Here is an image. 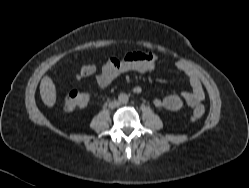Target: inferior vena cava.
I'll return each mask as SVG.
<instances>
[{
	"label": "inferior vena cava",
	"instance_id": "inferior-vena-cava-1",
	"mask_svg": "<svg viewBox=\"0 0 249 188\" xmlns=\"http://www.w3.org/2000/svg\"><path fill=\"white\" fill-rule=\"evenodd\" d=\"M119 104H120L119 101H112L109 103V108H111V109L116 108L119 106Z\"/></svg>",
	"mask_w": 249,
	"mask_h": 188
}]
</instances>
